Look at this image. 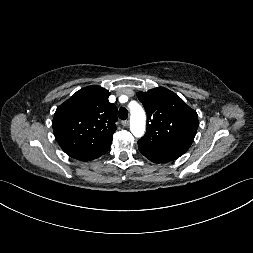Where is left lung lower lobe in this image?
<instances>
[{
    "mask_svg": "<svg viewBox=\"0 0 253 253\" xmlns=\"http://www.w3.org/2000/svg\"><path fill=\"white\" fill-rule=\"evenodd\" d=\"M138 148L146 158L154 163L169 162L179 158L182 155L172 151L145 146L140 143H138Z\"/></svg>",
    "mask_w": 253,
    "mask_h": 253,
    "instance_id": "1",
    "label": "left lung lower lobe"
}]
</instances>
